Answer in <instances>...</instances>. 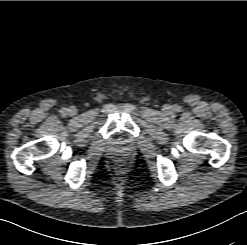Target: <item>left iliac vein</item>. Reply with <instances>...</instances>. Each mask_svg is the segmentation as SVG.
Returning a JSON list of instances; mask_svg holds the SVG:
<instances>
[{
  "mask_svg": "<svg viewBox=\"0 0 247 245\" xmlns=\"http://www.w3.org/2000/svg\"><path fill=\"white\" fill-rule=\"evenodd\" d=\"M164 110H165V112H169L170 111V107L169 106H165Z\"/></svg>",
  "mask_w": 247,
  "mask_h": 245,
  "instance_id": "4c4485c4",
  "label": "left iliac vein"
}]
</instances>
